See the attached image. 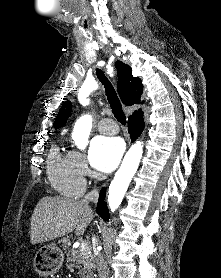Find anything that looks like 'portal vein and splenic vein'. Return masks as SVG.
Masks as SVG:
<instances>
[{"label": "portal vein and splenic vein", "mask_w": 221, "mask_h": 278, "mask_svg": "<svg viewBox=\"0 0 221 278\" xmlns=\"http://www.w3.org/2000/svg\"><path fill=\"white\" fill-rule=\"evenodd\" d=\"M79 249L81 252L86 251L88 249V243L86 241H82Z\"/></svg>", "instance_id": "18ae733b"}]
</instances>
